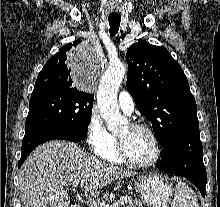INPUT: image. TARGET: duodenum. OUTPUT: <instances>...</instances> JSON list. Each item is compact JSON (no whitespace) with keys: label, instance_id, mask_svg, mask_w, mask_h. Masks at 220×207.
Instances as JSON below:
<instances>
[{"label":"duodenum","instance_id":"1","mask_svg":"<svg viewBox=\"0 0 220 207\" xmlns=\"http://www.w3.org/2000/svg\"><path fill=\"white\" fill-rule=\"evenodd\" d=\"M71 207H79V206L73 205V206H71Z\"/></svg>","mask_w":220,"mask_h":207}]
</instances>
